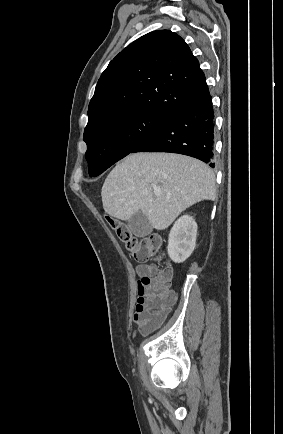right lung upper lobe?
<instances>
[{
  "instance_id": "obj_1",
  "label": "right lung upper lobe",
  "mask_w": 283,
  "mask_h": 434,
  "mask_svg": "<svg viewBox=\"0 0 283 434\" xmlns=\"http://www.w3.org/2000/svg\"><path fill=\"white\" fill-rule=\"evenodd\" d=\"M209 94L199 62L169 30L150 32L123 49L102 73L85 129L125 113L172 117Z\"/></svg>"
}]
</instances>
